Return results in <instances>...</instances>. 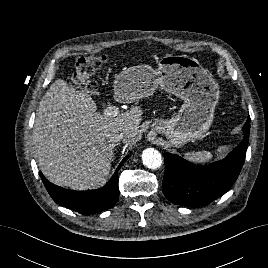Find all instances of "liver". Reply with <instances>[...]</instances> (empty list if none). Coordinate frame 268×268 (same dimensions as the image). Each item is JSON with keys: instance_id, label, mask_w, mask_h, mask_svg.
<instances>
[{"instance_id": "1", "label": "liver", "mask_w": 268, "mask_h": 268, "mask_svg": "<svg viewBox=\"0 0 268 268\" xmlns=\"http://www.w3.org/2000/svg\"><path fill=\"white\" fill-rule=\"evenodd\" d=\"M93 99L57 79L39 103L33 128V155L45 177L74 190L101 187L110 173L113 153L106 132L125 133L124 143L135 139L142 110L107 117L96 112Z\"/></svg>"}]
</instances>
